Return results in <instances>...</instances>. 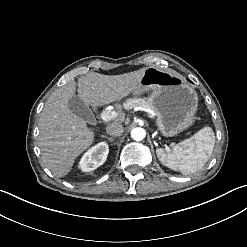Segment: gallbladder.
<instances>
[{"label": "gallbladder", "instance_id": "1", "mask_svg": "<svg viewBox=\"0 0 247 247\" xmlns=\"http://www.w3.org/2000/svg\"><path fill=\"white\" fill-rule=\"evenodd\" d=\"M68 107L75 115L86 121L93 117L91 109L79 96H73L68 102Z\"/></svg>", "mask_w": 247, "mask_h": 247}]
</instances>
